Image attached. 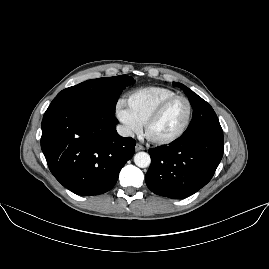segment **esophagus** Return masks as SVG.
I'll list each match as a JSON object with an SVG mask.
<instances>
[{
    "label": "esophagus",
    "mask_w": 269,
    "mask_h": 269,
    "mask_svg": "<svg viewBox=\"0 0 269 269\" xmlns=\"http://www.w3.org/2000/svg\"><path fill=\"white\" fill-rule=\"evenodd\" d=\"M135 149H136V151H140V150H145V147L140 145V144H136Z\"/></svg>",
    "instance_id": "1"
}]
</instances>
